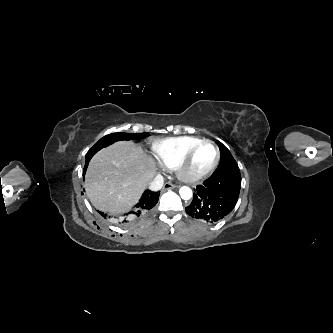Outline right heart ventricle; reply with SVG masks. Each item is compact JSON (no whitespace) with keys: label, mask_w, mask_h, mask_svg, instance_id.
<instances>
[{"label":"right heart ventricle","mask_w":333,"mask_h":333,"mask_svg":"<svg viewBox=\"0 0 333 333\" xmlns=\"http://www.w3.org/2000/svg\"><path fill=\"white\" fill-rule=\"evenodd\" d=\"M201 140L194 136L165 138L153 143V151L162 166L175 169L182 156Z\"/></svg>","instance_id":"right-heart-ventricle-1"}]
</instances>
